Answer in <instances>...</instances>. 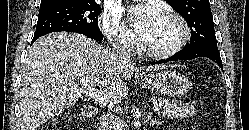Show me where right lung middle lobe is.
Instances as JSON below:
<instances>
[{
	"label": "right lung middle lobe",
	"mask_w": 249,
	"mask_h": 130,
	"mask_svg": "<svg viewBox=\"0 0 249 130\" xmlns=\"http://www.w3.org/2000/svg\"><path fill=\"white\" fill-rule=\"evenodd\" d=\"M99 4L91 0H65L40 6L34 36L58 31H81L103 40L98 27Z\"/></svg>",
	"instance_id": "right-lung-middle-lobe-1"
}]
</instances>
